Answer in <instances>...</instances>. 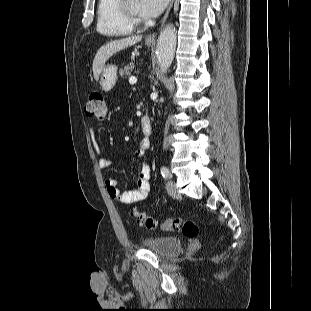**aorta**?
Segmentation results:
<instances>
[{"label":"aorta","instance_id":"aorta-1","mask_svg":"<svg viewBox=\"0 0 311 311\" xmlns=\"http://www.w3.org/2000/svg\"><path fill=\"white\" fill-rule=\"evenodd\" d=\"M176 29L172 24H168L161 31L156 47L157 62L162 73H166L173 59L176 48Z\"/></svg>","mask_w":311,"mask_h":311}]
</instances>
